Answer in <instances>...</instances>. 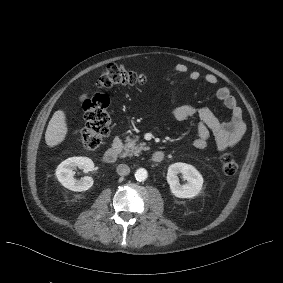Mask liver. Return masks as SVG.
Returning <instances> with one entry per match:
<instances>
[{"instance_id":"liver-1","label":"liver","mask_w":283,"mask_h":283,"mask_svg":"<svg viewBox=\"0 0 283 283\" xmlns=\"http://www.w3.org/2000/svg\"><path fill=\"white\" fill-rule=\"evenodd\" d=\"M69 132L67 114L58 109L54 112L45 132V143L52 149L64 143Z\"/></svg>"}]
</instances>
